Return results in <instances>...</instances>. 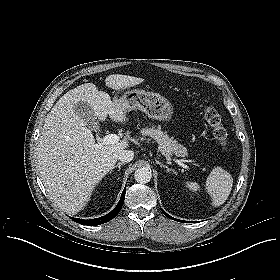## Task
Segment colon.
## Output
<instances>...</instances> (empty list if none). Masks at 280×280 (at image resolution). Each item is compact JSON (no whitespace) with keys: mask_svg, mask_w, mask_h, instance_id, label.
I'll return each mask as SVG.
<instances>
[{"mask_svg":"<svg viewBox=\"0 0 280 280\" xmlns=\"http://www.w3.org/2000/svg\"><path fill=\"white\" fill-rule=\"evenodd\" d=\"M204 121L210 127L213 137L219 144L220 150L225 152L228 146V133L222 123L221 116L212 107H206L203 112Z\"/></svg>","mask_w":280,"mask_h":280,"instance_id":"colon-1","label":"colon"}]
</instances>
